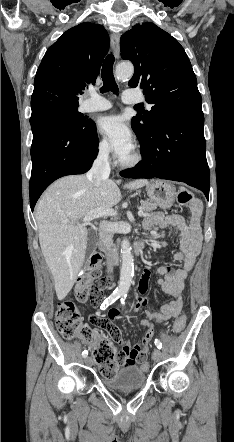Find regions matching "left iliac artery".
Masks as SVG:
<instances>
[{"label":"left iliac artery","mask_w":234,"mask_h":442,"mask_svg":"<svg viewBox=\"0 0 234 442\" xmlns=\"http://www.w3.org/2000/svg\"><path fill=\"white\" fill-rule=\"evenodd\" d=\"M124 298H126V294L122 295L121 302L124 303ZM155 345L158 349H161L162 343L159 339H155Z\"/></svg>","instance_id":"1"}]
</instances>
